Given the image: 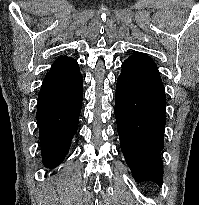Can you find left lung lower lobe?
Returning a JSON list of instances; mask_svg holds the SVG:
<instances>
[{"mask_svg":"<svg viewBox=\"0 0 199 205\" xmlns=\"http://www.w3.org/2000/svg\"><path fill=\"white\" fill-rule=\"evenodd\" d=\"M166 96L155 62L135 53L122 63L115 93L120 146L135 181L163 183Z\"/></svg>","mask_w":199,"mask_h":205,"instance_id":"left-lung-lower-lobe-1","label":"left lung lower lobe"}]
</instances>
